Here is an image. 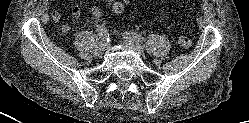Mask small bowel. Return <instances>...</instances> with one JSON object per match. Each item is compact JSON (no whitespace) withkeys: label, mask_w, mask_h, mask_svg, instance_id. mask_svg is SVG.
Here are the masks:
<instances>
[{"label":"small bowel","mask_w":249,"mask_h":123,"mask_svg":"<svg viewBox=\"0 0 249 123\" xmlns=\"http://www.w3.org/2000/svg\"><path fill=\"white\" fill-rule=\"evenodd\" d=\"M105 2L111 5H118L121 9L120 11H122L124 6L129 2V0H105ZM91 14L96 18H100L103 16L104 13L100 7L93 6L91 9ZM71 15L73 18H79L81 15L80 8L78 6H74L71 10ZM51 18L54 22H59L61 20V14L58 11H54L51 14ZM61 30L63 33H69L70 27L68 25H62Z\"/></svg>","instance_id":"c3829d8e"}]
</instances>
